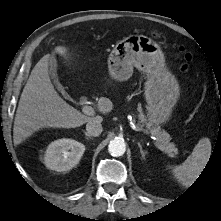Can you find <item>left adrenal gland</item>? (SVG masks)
Returning a JSON list of instances; mask_svg holds the SVG:
<instances>
[{
	"instance_id": "a2214340",
	"label": "left adrenal gland",
	"mask_w": 221,
	"mask_h": 221,
	"mask_svg": "<svg viewBox=\"0 0 221 221\" xmlns=\"http://www.w3.org/2000/svg\"><path fill=\"white\" fill-rule=\"evenodd\" d=\"M138 147L140 149V153L143 159H145V155L147 154V152L143 151L141 144L138 142Z\"/></svg>"
}]
</instances>
